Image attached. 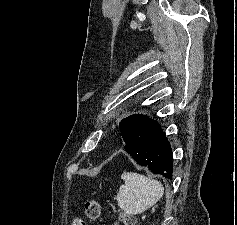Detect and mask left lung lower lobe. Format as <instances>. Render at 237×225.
Segmentation results:
<instances>
[{
  "instance_id": "left-lung-lower-lobe-1",
  "label": "left lung lower lobe",
  "mask_w": 237,
  "mask_h": 225,
  "mask_svg": "<svg viewBox=\"0 0 237 225\" xmlns=\"http://www.w3.org/2000/svg\"><path fill=\"white\" fill-rule=\"evenodd\" d=\"M119 126L125 151L152 173L171 179L172 149L160 124L147 116L135 114L123 119Z\"/></svg>"
}]
</instances>
